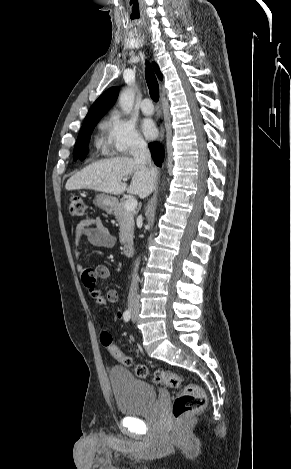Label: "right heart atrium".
Wrapping results in <instances>:
<instances>
[{
	"label": "right heart atrium",
	"mask_w": 291,
	"mask_h": 469,
	"mask_svg": "<svg viewBox=\"0 0 291 469\" xmlns=\"http://www.w3.org/2000/svg\"><path fill=\"white\" fill-rule=\"evenodd\" d=\"M105 144L108 152L127 155L145 147V141L135 124L113 111L104 123Z\"/></svg>",
	"instance_id": "right-heart-atrium-1"
}]
</instances>
